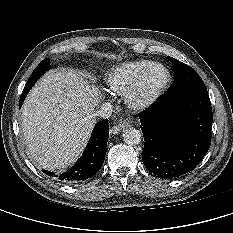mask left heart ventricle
<instances>
[{"label": "left heart ventricle", "instance_id": "left-heart-ventricle-1", "mask_svg": "<svg viewBox=\"0 0 233 233\" xmlns=\"http://www.w3.org/2000/svg\"><path fill=\"white\" fill-rule=\"evenodd\" d=\"M164 79L165 72L160 68L155 69L146 81L145 91L148 92L154 90L163 82Z\"/></svg>", "mask_w": 233, "mask_h": 233}]
</instances>
